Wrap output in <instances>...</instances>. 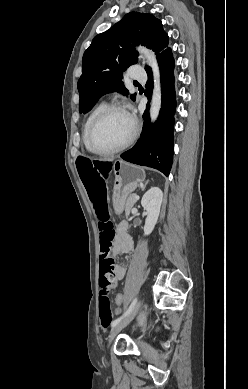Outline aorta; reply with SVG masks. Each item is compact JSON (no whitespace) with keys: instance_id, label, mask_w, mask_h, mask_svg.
I'll return each instance as SVG.
<instances>
[{"instance_id":"1","label":"aorta","mask_w":248,"mask_h":389,"mask_svg":"<svg viewBox=\"0 0 248 389\" xmlns=\"http://www.w3.org/2000/svg\"><path fill=\"white\" fill-rule=\"evenodd\" d=\"M137 50L140 54H142L145 57L147 63L153 70L154 89H153V94L151 99L150 117H151V121L154 122L157 119L161 108V87H160L159 67L157 64L156 56L153 51L141 46H139Z\"/></svg>"}]
</instances>
